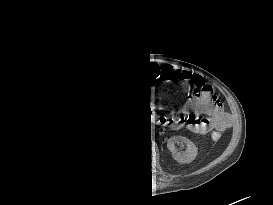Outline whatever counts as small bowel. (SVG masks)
I'll list each match as a JSON object with an SVG mask.
<instances>
[{
  "instance_id": "c3829d8e",
  "label": "small bowel",
  "mask_w": 273,
  "mask_h": 205,
  "mask_svg": "<svg viewBox=\"0 0 273 205\" xmlns=\"http://www.w3.org/2000/svg\"><path fill=\"white\" fill-rule=\"evenodd\" d=\"M182 76L195 83L202 81L198 75L189 72H183ZM184 110L196 115V117L186 122L187 127L196 133H204L210 131L212 128L221 130L229 123V114L224 111L219 101L211 98V88L208 85L203 87L199 97L190 98L186 101ZM199 115H205L206 117L199 118ZM168 126L177 128L180 126V123L170 122Z\"/></svg>"
}]
</instances>
